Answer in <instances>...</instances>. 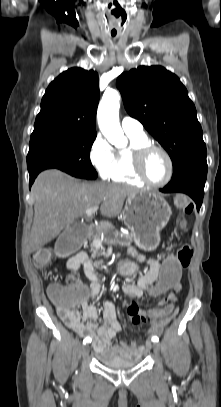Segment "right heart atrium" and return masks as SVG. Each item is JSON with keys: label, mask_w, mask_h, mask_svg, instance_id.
Instances as JSON below:
<instances>
[{"label": "right heart atrium", "mask_w": 221, "mask_h": 407, "mask_svg": "<svg viewBox=\"0 0 221 407\" xmlns=\"http://www.w3.org/2000/svg\"><path fill=\"white\" fill-rule=\"evenodd\" d=\"M89 157L101 178L111 177L115 164V151L110 143L98 134L90 148Z\"/></svg>", "instance_id": "right-heart-atrium-1"}]
</instances>
